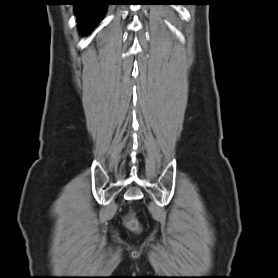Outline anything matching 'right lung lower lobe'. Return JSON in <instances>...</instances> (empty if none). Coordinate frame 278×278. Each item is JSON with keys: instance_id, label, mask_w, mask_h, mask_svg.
Wrapping results in <instances>:
<instances>
[{"instance_id": "98d812e1", "label": "right lung lower lobe", "mask_w": 278, "mask_h": 278, "mask_svg": "<svg viewBox=\"0 0 278 278\" xmlns=\"http://www.w3.org/2000/svg\"><path fill=\"white\" fill-rule=\"evenodd\" d=\"M75 11L85 31H90L94 25L101 21L107 3L104 0H78Z\"/></svg>"}]
</instances>
